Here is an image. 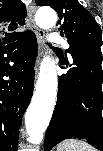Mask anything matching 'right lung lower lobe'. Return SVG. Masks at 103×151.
Here are the masks:
<instances>
[{
	"label": "right lung lower lobe",
	"instance_id": "98d812e1",
	"mask_svg": "<svg viewBox=\"0 0 103 151\" xmlns=\"http://www.w3.org/2000/svg\"><path fill=\"white\" fill-rule=\"evenodd\" d=\"M36 56V38H25V34L16 43L0 47L1 151H17L22 116L33 93ZM4 76L9 79L4 80Z\"/></svg>",
	"mask_w": 103,
	"mask_h": 151
}]
</instances>
